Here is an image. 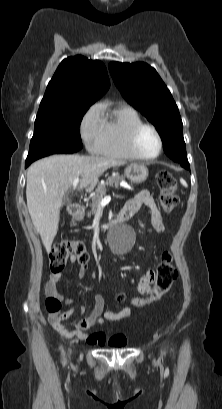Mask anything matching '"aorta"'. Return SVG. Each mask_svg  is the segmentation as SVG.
<instances>
[{"mask_svg": "<svg viewBox=\"0 0 222 409\" xmlns=\"http://www.w3.org/2000/svg\"><path fill=\"white\" fill-rule=\"evenodd\" d=\"M130 230L125 226H118L112 236V242L118 252L124 253L130 249L131 244L127 241Z\"/></svg>", "mask_w": 222, "mask_h": 409, "instance_id": "obj_1", "label": "aorta"}]
</instances>
